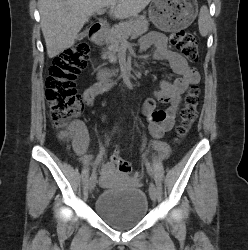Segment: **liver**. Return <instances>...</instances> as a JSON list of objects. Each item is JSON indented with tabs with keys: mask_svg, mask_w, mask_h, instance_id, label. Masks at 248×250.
Segmentation results:
<instances>
[{
	"mask_svg": "<svg viewBox=\"0 0 248 250\" xmlns=\"http://www.w3.org/2000/svg\"><path fill=\"white\" fill-rule=\"evenodd\" d=\"M151 0H39L41 29L49 58L74 45L91 15L110 7L117 19L137 16Z\"/></svg>",
	"mask_w": 248,
	"mask_h": 250,
	"instance_id": "6515ba94",
	"label": "liver"
}]
</instances>
